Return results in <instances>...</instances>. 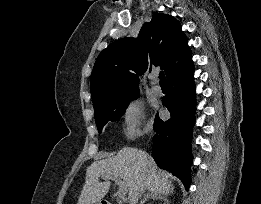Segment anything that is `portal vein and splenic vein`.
Masks as SVG:
<instances>
[{"mask_svg":"<svg viewBox=\"0 0 261 204\" xmlns=\"http://www.w3.org/2000/svg\"><path fill=\"white\" fill-rule=\"evenodd\" d=\"M114 180L115 183L119 186V189H118V197L120 198H124L126 193H127V186L124 184V182L118 178V177H109L108 180Z\"/></svg>","mask_w":261,"mask_h":204,"instance_id":"18ae733b","label":"portal vein and splenic vein"}]
</instances>
